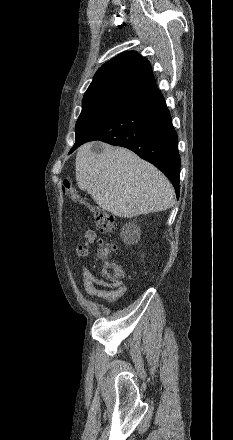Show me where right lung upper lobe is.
Segmentation results:
<instances>
[{
  "instance_id": "right-lung-upper-lobe-1",
  "label": "right lung upper lobe",
  "mask_w": 233,
  "mask_h": 440,
  "mask_svg": "<svg viewBox=\"0 0 233 440\" xmlns=\"http://www.w3.org/2000/svg\"><path fill=\"white\" fill-rule=\"evenodd\" d=\"M155 88L149 61L135 51H128L106 62L96 72L82 102L128 103Z\"/></svg>"
}]
</instances>
